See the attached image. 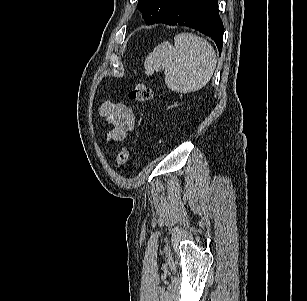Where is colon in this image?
<instances>
[{
    "label": "colon",
    "mask_w": 307,
    "mask_h": 301,
    "mask_svg": "<svg viewBox=\"0 0 307 301\" xmlns=\"http://www.w3.org/2000/svg\"><path fill=\"white\" fill-rule=\"evenodd\" d=\"M129 98L139 103H145L152 98V91L145 82H138L129 92ZM130 150L127 146L121 147L119 150L116 163L118 165H124L129 159Z\"/></svg>",
    "instance_id": "1"
}]
</instances>
